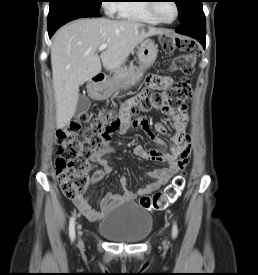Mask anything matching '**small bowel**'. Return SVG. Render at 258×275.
Wrapping results in <instances>:
<instances>
[{
    "instance_id": "obj_1",
    "label": "small bowel",
    "mask_w": 258,
    "mask_h": 275,
    "mask_svg": "<svg viewBox=\"0 0 258 275\" xmlns=\"http://www.w3.org/2000/svg\"><path fill=\"white\" fill-rule=\"evenodd\" d=\"M156 79L160 80V87L162 88H168L173 83L172 78L169 76L158 77L149 75L147 78L148 87L142 91L141 97L146 96L149 89L155 88L152 82ZM168 114L175 128L174 134H169L162 123L152 124L143 118H139L132 122L133 127L142 129L147 136L158 145L157 148L147 149L140 144H136L132 150L133 154L142 159L164 162L166 166L147 173L146 176L150 178L151 181L143 187L138 188L136 191L128 189V178L121 176L119 178L121 191L108 192L99 200L98 208L90 204L89 198L74 199V204L83 216L91 221H96L117 206L125 203H132L139 196L153 193L164 186L176 172L188 163L191 152V140L187 134V106L183 104L178 110H174ZM127 128L128 123H126L119 132L124 133ZM160 136L169 137L171 142L169 150L165 148L164 142ZM114 152L115 148L109 142H106L101 150L91 152L88 164L90 165V170L94 169L91 177L93 184H98L107 175L113 172V167L108 161V156Z\"/></svg>"
}]
</instances>
